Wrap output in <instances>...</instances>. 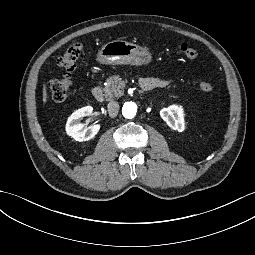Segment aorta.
I'll return each mask as SVG.
<instances>
[{"label":"aorta","instance_id":"obj_1","mask_svg":"<svg viewBox=\"0 0 255 255\" xmlns=\"http://www.w3.org/2000/svg\"><path fill=\"white\" fill-rule=\"evenodd\" d=\"M137 113V105L134 102H126L122 107V114L127 119H132Z\"/></svg>","mask_w":255,"mask_h":255}]
</instances>
